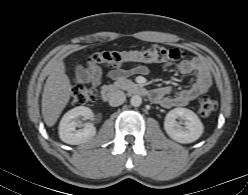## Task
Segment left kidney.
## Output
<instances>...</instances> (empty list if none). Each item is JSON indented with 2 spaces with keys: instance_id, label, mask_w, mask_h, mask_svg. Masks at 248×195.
<instances>
[{
  "instance_id": "1",
  "label": "left kidney",
  "mask_w": 248,
  "mask_h": 195,
  "mask_svg": "<svg viewBox=\"0 0 248 195\" xmlns=\"http://www.w3.org/2000/svg\"><path fill=\"white\" fill-rule=\"evenodd\" d=\"M183 121L184 126L177 121ZM164 129L174 141L187 144L196 141L204 131L199 117L187 108H175L169 111L165 117Z\"/></svg>"
}]
</instances>
